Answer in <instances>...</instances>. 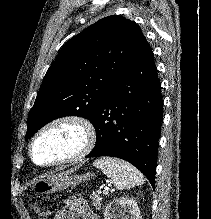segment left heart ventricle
I'll use <instances>...</instances> for the list:
<instances>
[{"label":"left heart ventricle","mask_w":211,"mask_h":219,"mask_svg":"<svg viewBox=\"0 0 211 219\" xmlns=\"http://www.w3.org/2000/svg\"><path fill=\"white\" fill-rule=\"evenodd\" d=\"M83 134L73 124H61L44 132L33 148L38 163H51L73 155L81 146Z\"/></svg>","instance_id":"1"}]
</instances>
